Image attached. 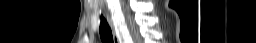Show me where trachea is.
<instances>
[{
  "instance_id": "obj_1",
  "label": "trachea",
  "mask_w": 256,
  "mask_h": 43,
  "mask_svg": "<svg viewBox=\"0 0 256 43\" xmlns=\"http://www.w3.org/2000/svg\"><path fill=\"white\" fill-rule=\"evenodd\" d=\"M99 32L102 43H114L111 28L103 16L100 17Z\"/></svg>"
}]
</instances>
